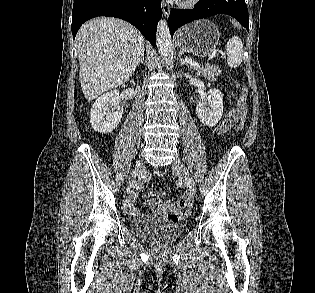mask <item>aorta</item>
I'll list each match as a JSON object with an SVG mask.
<instances>
[{
  "label": "aorta",
  "instance_id": "762f6f07",
  "mask_svg": "<svg viewBox=\"0 0 315 293\" xmlns=\"http://www.w3.org/2000/svg\"><path fill=\"white\" fill-rule=\"evenodd\" d=\"M156 40L159 53L167 67L172 68L173 45L167 22L160 20L157 25Z\"/></svg>",
  "mask_w": 315,
  "mask_h": 293
}]
</instances>
